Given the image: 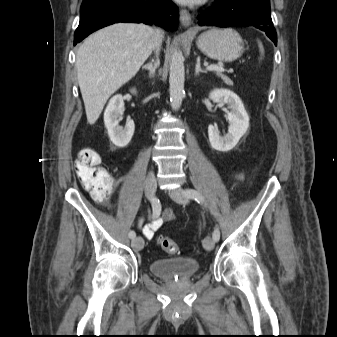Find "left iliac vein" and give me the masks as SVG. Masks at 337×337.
Returning a JSON list of instances; mask_svg holds the SVG:
<instances>
[{
  "instance_id": "left-iliac-vein-1",
  "label": "left iliac vein",
  "mask_w": 337,
  "mask_h": 337,
  "mask_svg": "<svg viewBox=\"0 0 337 337\" xmlns=\"http://www.w3.org/2000/svg\"><path fill=\"white\" fill-rule=\"evenodd\" d=\"M169 196L177 203H180V204L188 203V198L186 197L183 189L181 188H176V189L169 191ZM203 246L207 251L213 250L215 246L214 239L210 236L205 237L203 240Z\"/></svg>"
}]
</instances>
